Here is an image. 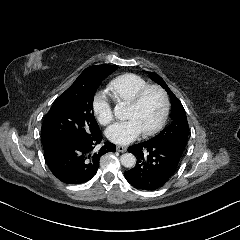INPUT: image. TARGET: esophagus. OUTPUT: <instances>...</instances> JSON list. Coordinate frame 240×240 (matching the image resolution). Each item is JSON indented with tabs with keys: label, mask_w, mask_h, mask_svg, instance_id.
<instances>
[{
	"label": "esophagus",
	"mask_w": 240,
	"mask_h": 240,
	"mask_svg": "<svg viewBox=\"0 0 240 240\" xmlns=\"http://www.w3.org/2000/svg\"><path fill=\"white\" fill-rule=\"evenodd\" d=\"M116 150H117L118 152L124 153V152L127 151V147H126V146H123V145H117V146H116Z\"/></svg>",
	"instance_id": "1"
}]
</instances>
